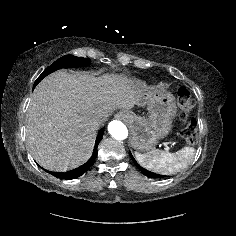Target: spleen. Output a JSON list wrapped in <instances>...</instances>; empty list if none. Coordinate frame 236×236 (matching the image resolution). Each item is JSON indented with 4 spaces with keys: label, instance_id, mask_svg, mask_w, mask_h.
<instances>
[{
    "label": "spleen",
    "instance_id": "spleen-1",
    "mask_svg": "<svg viewBox=\"0 0 236 236\" xmlns=\"http://www.w3.org/2000/svg\"><path fill=\"white\" fill-rule=\"evenodd\" d=\"M195 155L193 147L185 146L176 153L159 149L145 154L135 152V157L141 166L155 173L169 175L186 168Z\"/></svg>",
    "mask_w": 236,
    "mask_h": 236
}]
</instances>
